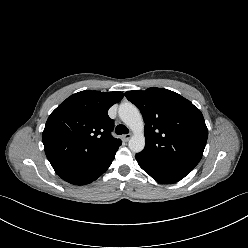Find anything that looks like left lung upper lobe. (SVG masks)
<instances>
[{
    "label": "left lung upper lobe",
    "instance_id": "5c2ea615",
    "mask_svg": "<svg viewBox=\"0 0 248 248\" xmlns=\"http://www.w3.org/2000/svg\"><path fill=\"white\" fill-rule=\"evenodd\" d=\"M145 121L138 155L164 165L193 170L202 158L208 129L200 110L181 95L162 88L125 93Z\"/></svg>",
    "mask_w": 248,
    "mask_h": 248
}]
</instances>
